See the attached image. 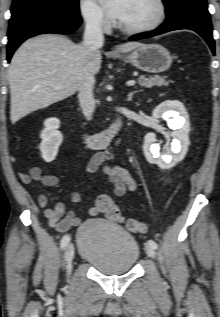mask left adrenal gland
Here are the masks:
<instances>
[{
  "label": "left adrenal gland",
  "instance_id": "1",
  "mask_svg": "<svg viewBox=\"0 0 220 317\" xmlns=\"http://www.w3.org/2000/svg\"><path fill=\"white\" fill-rule=\"evenodd\" d=\"M138 91H133V92H130L129 95H128V101H131L132 100V97L135 93H137Z\"/></svg>",
  "mask_w": 220,
  "mask_h": 317
}]
</instances>
